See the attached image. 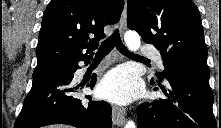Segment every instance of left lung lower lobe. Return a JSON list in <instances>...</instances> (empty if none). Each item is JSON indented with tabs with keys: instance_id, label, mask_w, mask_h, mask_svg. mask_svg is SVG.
Masks as SVG:
<instances>
[{
	"instance_id": "1",
	"label": "left lung lower lobe",
	"mask_w": 221,
	"mask_h": 128,
	"mask_svg": "<svg viewBox=\"0 0 221 128\" xmlns=\"http://www.w3.org/2000/svg\"><path fill=\"white\" fill-rule=\"evenodd\" d=\"M209 75L189 68L169 67L165 78L170 89L167 91L158 83L167 98L138 106V128L220 127L212 111Z\"/></svg>"
}]
</instances>
